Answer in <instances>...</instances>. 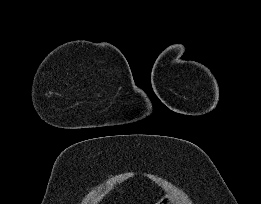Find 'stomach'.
I'll return each instance as SVG.
<instances>
[{"label":"stomach","mask_w":261,"mask_h":204,"mask_svg":"<svg viewBox=\"0 0 261 204\" xmlns=\"http://www.w3.org/2000/svg\"><path fill=\"white\" fill-rule=\"evenodd\" d=\"M158 204H173V203H172L171 199L168 196H166V197L162 198L158 202Z\"/></svg>","instance_id":"obj_1"}]
</instances>
